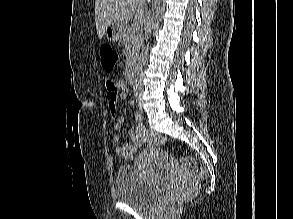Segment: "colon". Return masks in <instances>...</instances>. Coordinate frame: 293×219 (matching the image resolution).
<instances>
[{"label":"colon","mask_w":293,"mask_h":219,"mask_svg":"<svg viewBox=\"0 0 293 219\" xmlns=\"http://www.w3.org/2000/svg\"><path fill=\"white\" fill-rule=\"evenodd\" d=\"M100 56L102 61V66L106 71H111L114 69L119 61V53L110 45H104L100 50ZM165 142V138L156 132H151L147 137L148 147H155L161 145ZM179 164L181 167L187 171L193 172L197 170V163L195 159L191 156H182L179 159ZM208 174L206 169L200 168L198 171V177L201 180H205Z\"/></svg>","instance_id":"colon-1"}]
</instances>
